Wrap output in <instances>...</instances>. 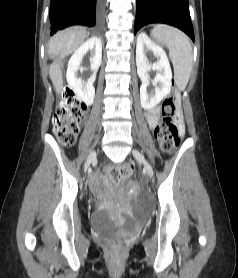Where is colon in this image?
<instances>
[{
  "label": "colon",
  "mask_w": 238,
  "mask_h": 278,
  "mask_svg": "<svg viewBox=\"0 0 238 278\" xmlns=\"http://www.w3.org/2000/svg\"><path fill=\"white\" fill-rule=\"evenodd\" d=\"M87 113V106L72 90L66 89L53 117V131L63 147H71L75 144ZM155 137L160 148L165 153H170L180 143L176 96L174 93L169 94L162 101L161 121L155 129ZM132 173L133 165L128 162L106 168V175L112 183H117ZM120 245V240H114L110 243L114 250L119 249Z\"/></svg>",
  "instance_id": "1"
}]
</instances>
